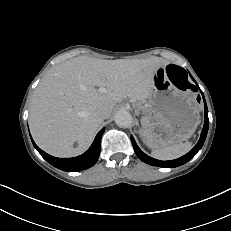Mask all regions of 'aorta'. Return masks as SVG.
<instances>
[{"mask_svg":"<svg viewBox=\"0 0 231 231\" xmlns=\"http://www.w3.org/2000/svg\"><path fill=\"white\" fill-rule=\"evenodd\" d=\"M114 121L120 127H129L132 123V116L128 111L121 110L115 114Z\"/></svg>","mask_w":231,"mask_h":231,"instance_id":"aorta-1","label":"aorta"}]
</instances>
